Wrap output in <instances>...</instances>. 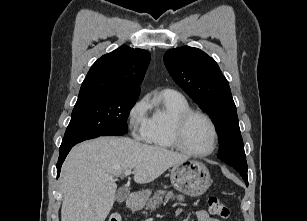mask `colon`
Here are the masks:
<instances>
[{"instance_id":"1","label":"colon","mask_w":307,"mask_h":221,"mask_svg":"<svg viewBox=\"0 0 307 221\" xmlns=\"http://www.w3.org/2000/svg\"><path fill=\"white\" fill-rule=\"evenodd\" d=\"M208 203L211 214L223 219L229 217L230 212L228 207L219 198L210 197ZM108 221H121V217L119 215H112L109 217Z\"/></svg>"}]
</instances>
